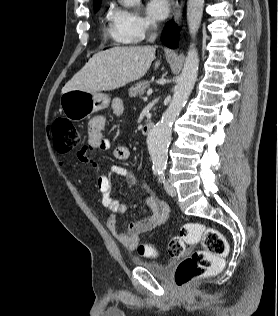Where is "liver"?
Instances as JSON below:
<instances>
[{
  "label": "liver",
  "instance_id": "liver-1",
  "mask_svg": "<svg viewBox=\"0 0 278 316\" xmlns=\"http://www.w3.org/2000/svg\"><path fill=\"white\" fill-rule=\"evenodd\" d=\"M151 46L114 47L93 55L62 88V93L80 90L88 93L118 89L143 77L155 59ZM160 61L155 63V69Z\"/></svg>",
  "mask_w": 278,
  "mask_h": 316
}]
</instances>
